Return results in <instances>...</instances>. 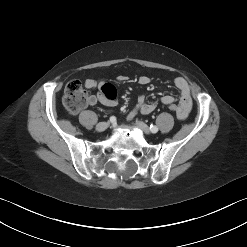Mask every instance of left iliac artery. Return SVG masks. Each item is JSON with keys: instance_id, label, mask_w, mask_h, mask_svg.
Returning <instances> with one entry per match:
<instances>
[{"instance_id": "1", "label": "left iliac artery", "mask_w": 247, "mask_h": 247, "mask_svg": "<svg viewBox=\"0 0 247 247\" xmlns=\"http://www.w3.org/2000/svg\"><path fill=\"white\" fill-rule=\"evenodd\" d=\"M150 130L152 133H156L158 131V128L155 125H150Z\"/></svg>"}]
</instances>
